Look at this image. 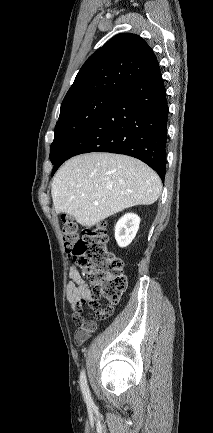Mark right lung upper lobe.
<instances>
[{
	"mask_svg": "<svg viewBox=\"0 0 213 433\" xmlns=\"http://www.w3.org/2000/svg\"><path fill=\"white\" fill-rule=\"evenodd\" d=\"M157 63L144 39L136 34L120 33L83 64L62 105L102 92L122 94Z\"/></svg>",
	"mask_w": 213,
	"mask_h": 433,
	"instance_id": "cb5924a9",
	"label": "right lung upper lobe"
}]
</instances>
